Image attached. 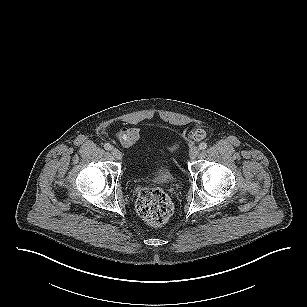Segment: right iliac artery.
Here are the masks:
<instances>
[{"mask_svg":"<svg viewBox=\"0 0 307 307\" xmlns=\"http://www.w3.org/2000/svg\"><path fill=\"white\" fill-rule=\"evenodd\" d=\"M104 148H105L106 150H111V149H112V146H111L110 143H105V144H104Z\"/></svg>","mask_w":307,"mask_h":307,"instance_id":"82829eb1","label":"right iliac artery"}]
</instances>
